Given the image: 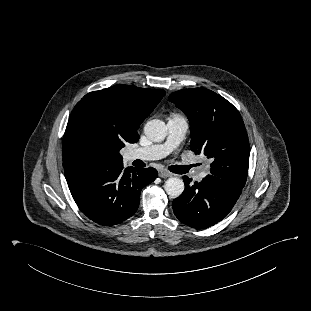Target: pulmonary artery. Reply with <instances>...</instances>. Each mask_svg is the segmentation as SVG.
<instances>
[{
	"label": "pulmonary artery",
	"mask_w": 311,
	"mask_h": 311,
	"mask_svg": "<svg viewBox=\"0 0 311 311\" xmlns=\"http://www.w3.org/2000/svg\"><path fill=\"white\" fill-rule=\"evenodd\" d=\"M168 136L164 143L138 148L129 152V159L157 160L165 157L173 151L184 139L188 123L183 117H170L167 122ZM208 174L207 168H203L195 175L196 180L202 181Z\"/></svg>",
	"instance_id": "pulmonary-artery-1"
}]
</instances>
